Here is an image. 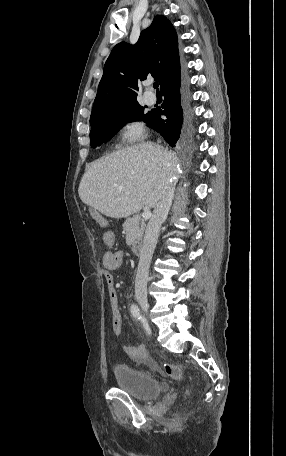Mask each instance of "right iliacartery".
<instances>
[{"mask_svg": "<svg viewBox=\"0 0 286 456\" xmlns=\"http://www.w3.org/2000/svg\"><path fill=\"white\" fill-rule=\"evenodd\" d=\"M130 312H131L132 316L135 319H137V320H141L142 319V315H141L140 309H139V307L136 304H132L131 305Z\"/></svg>", "mask_w": 286, "mask_h": 456, "instance_id": "82829eb1", "label": "right iliac artery"}]
</instances>
